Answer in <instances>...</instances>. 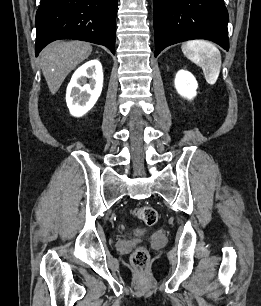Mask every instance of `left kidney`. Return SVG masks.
I'll return each instance as SVG.
<instances>
[{
	"mask_svg": "<svg viewBox=\"0 0 261 306\" xmlns=\"http://www.w3.org/2000/svg\"><path fill=\"white\" fill-rule=\"evenodd\" d=\"M175 88L180 96L191 100L197 92L198 83L195 77L188 71L180 70L175 77Z\"/></svg>",
	"mask_w": 261,
	"mask_h": 306,
	"instance_id": "1",
	"label": "left kidney"
}]
</instances>
